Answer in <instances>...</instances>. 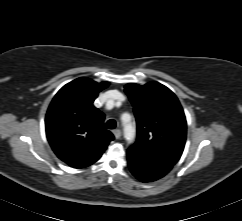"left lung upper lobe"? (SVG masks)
<instances>
[{"mask_svg": "<svg viewBox=\"0 0 242 221\" xmlns=\"http://www.w3.org/2000/svg\"><path fill=\"white\" fill-rule=\"evenodd\" d=\"M125 92L134 107L138 133L129 150L176 164L184 149L187 125L175 94L158 82L129 83Z\"/></svg>", "mask_w": 242, "mask_h": 221, "instance_id": "left-lung-upper-lobe-1", "label": "left lung upper lobe"}]
</instances>
